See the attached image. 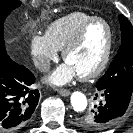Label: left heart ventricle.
I'll return each instance as SVG.
<instances>
[{
  "label": "left heart ventricle",
  "mask_w": 133,
  "mask_h": 133,
  "mask_svg": "<svg viewBox=\"0 0 133 133\" xmlns=\"http://www.w3.org/2000/svg\"><path fill=\"white\" fill-rule=\"evenodd\" d=\"M107 40V27L101 22L92 24L80 44L69 53L66 63L75 70L77 76L91 72L102 60Z\"/></svg>",
  "instance_id": "1"
}]
</instances>
